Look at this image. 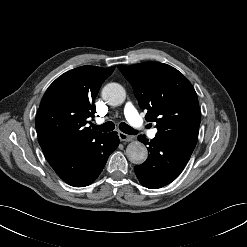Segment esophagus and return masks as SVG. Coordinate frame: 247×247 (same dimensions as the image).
<instances>
[{
  "label": "esophagus",
  "mask_w": 247,
  "mask_h": 247,
  "mask_svg": "<svg viewBox=\"0 0 247 247\" xmlns=\"http://www.w3.org/2000/svg\"><path fill=\"white\" fill-rule=\"evenodd\" d=\"M118 136H119L120 141L130 142L134 139L133 136L125 134V133L120 132V131L118 132Z\"/></svg>",
  "instance_id": "34e87169"
}]
</instances>
